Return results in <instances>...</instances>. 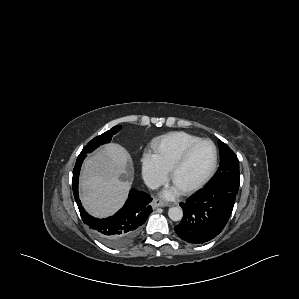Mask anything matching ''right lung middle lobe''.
<instances>
[{"instance_id":"right-lung-middle-lobe-1","label":"right lung middle lobe","mask_w":299,"mask_h":299,"mask_svg":"<svg viewBox=\"0 0 299 299\" xmlns=\"http://www.w3.org/2000/svg\"><path fill=\"white\" fill-rule=\"evenodd\" d=\"M120 129L121 126H115L110 130L106 131L105 133H103L102 135L95 137L83 148L79 156H85L87 153L92 152L100 145L109 143L112 139V136L115 135Z\"/></svg>"}]
</instances>
